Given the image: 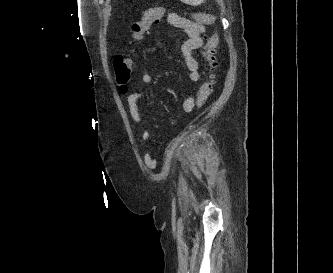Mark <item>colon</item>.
<instances>
[{
	"label": "colon",
	"instance_id": "colon-1",
	"mask_svg": "<svg viewBox=\"0 0 333 273\" xmlns=\"http://www.w3.org/2000/svg\"><path fill=\"white\" fill-rule=\"evenodd\" d=\"M166 14L164 7H155L145 11L139 20L132 25V37L135 41H141L148 34L153 24L158 23ZM192 19L199 24H212L215 17L210 13L192 14ZM219 43V34L215 32L211 36L205 37V42L200 49V54L208 64V73L197 91L195 105L201 107L211 96L214 85V70L217 67L215 49ZM133 58L129 55H118L113 60L116 81L123 93H127L128 85L132 79Z\"/></svg>",
	"mask_w": 333,
	"mask_h": 273
}]
</instances>
